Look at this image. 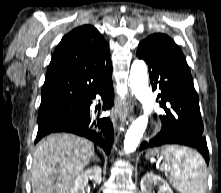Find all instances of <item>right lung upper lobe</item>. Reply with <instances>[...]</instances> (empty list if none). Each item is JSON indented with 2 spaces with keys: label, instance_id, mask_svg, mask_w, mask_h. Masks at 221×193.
Instances as JSON below:
<instances>
[{
  "label": "right lung upper lobe",
  "instance_id": "cb5924a9",
  "mask_svg": "<svg viewBox=\"0 0 221 193\" xmlns=\"http://www.w3.org/2000/svg\"><path fill=\"white\" fill-rule=\"evenodd\" d=\"M111 67L109 47L99 31L91 25L75 28L54 51L41 102L82 99L94 80Z\"/></svg>",
  "mask_w": 221,
  "mask_h": 193
}]
</instances>
